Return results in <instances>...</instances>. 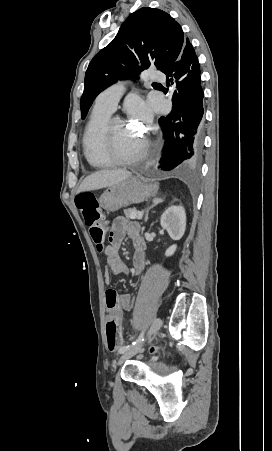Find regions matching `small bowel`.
Listing matches in <instances>:
<instances>
[{
	"instance_id": "c3829d8e",
	"label": "small bowel",
	"mask_w": 272,
	"mask_h": 451,
	"mask_svg": "<svg viewBox=\"0 0 272 451\" xmlns=\"http://www.w3.org/2000/svg\"><path fill=\"white\" fill-rule=\"evenodd\" d=\"M141 227L138 222L122 217L116 218L109 227V243L104 247L106 256V270L104 281L111 283V273L126 274L129 269L122 260L119 247L126 236H129L135 247L132 257V274L138 275L143 272L148 265L146 246L140 234ZM105 305L108 316L113 317L119 324L123 319L124 311H131L133 308V298L128 294H118L115 290H108L105 294Z\"/></svg>"
}]
</instances>
